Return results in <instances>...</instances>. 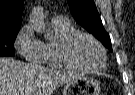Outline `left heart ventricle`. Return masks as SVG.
I'll use <instances>...</instances> for the list:
<instances>
[{
  "label": "left heart ventricle",
  "mask_w": 135,
  "mask_h": 95,
  "mask_svg": "<svg viewBox=\"0 0 135 95\" xmlns=\"http://www.w3.org/2000/svg\"><path fill=\"white\" fill-rule=\"evenodd\" d=\"M71 55L78 63L87 67L96 68L103 63V56L99 48L85 37H80L74 42Z\"/></svg>",
  "instance_id": "1"
}]
</instances>
